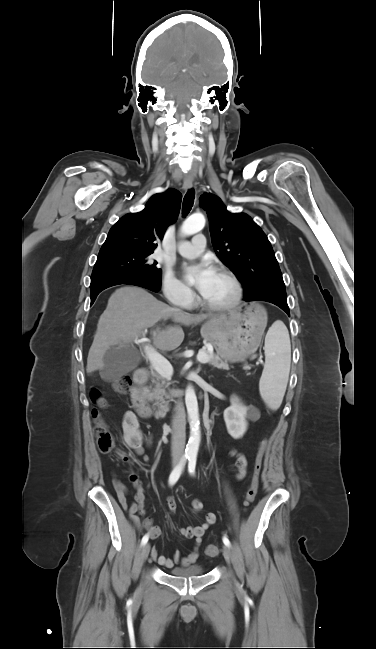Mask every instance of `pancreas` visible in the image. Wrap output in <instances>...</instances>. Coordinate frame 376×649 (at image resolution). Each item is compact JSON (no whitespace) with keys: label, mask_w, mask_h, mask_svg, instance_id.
<instances>
[{"label":"pancreas","mask_w":376,"mask_h":649,"mask_svg":"<svg viewBox=\"0 0 376 649\" xmlns=\"http://www.w3.org/2000/svg\"><path fill=\"white\" fill-rule=\"evenodd\" d=\"M201 352L206 353L207 349L204 348L201 350ZM209 356V364L217 367L219 369H225L229 370V364L227 363L226 360H223L219 355L212 356L211 354H208ZM151 368V375H152V383L154 384V387L151 388L147 391L146 394V399L148 402H153V407H158L162 410H165L166 402L164 400V395H166L165 389L169 387L170 383L166 380L165 377L161 376L158 372H156L153 368Z\"/></svg>","instance_id":"obj_1"}]
</instances>
